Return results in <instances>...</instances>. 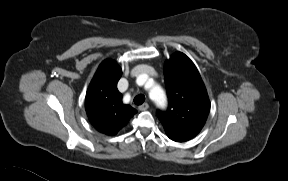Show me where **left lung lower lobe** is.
Masks as SVG:
<instances>
[{"label":"left lung lower lobe","mask_w":288,"mask_h":181,"mask_svg":"<svg viewBox=\"0 0 288 181\" xmlns=\"http://www.w3.org/2000/svg\"><path fill=\"white\" fill-rule=\"evenodd\" d=\"M184 141H187V140H182V141H178V142H184Z\"/></svg>","instance_id":"0a47b994"}]
</instances>
